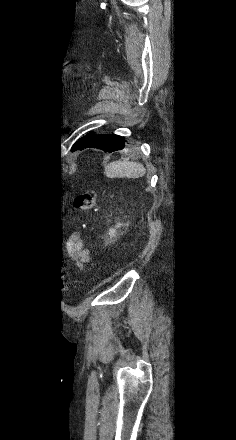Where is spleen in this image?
Returning <instances> with one entry per match:
<instances>
[{"instance_id":"1","label":"spleen","mask_w":236,"mask_h":440,"mask_svg":"<svg viewBox=\"0 0 236 440\" xmlns=\"http://www.w3.org/2000/svg\"><path fill=\"white\" fill-rule=\"evenodd\" d=\"M145 173L146 169L142 164L126 160L112 162L105 168V174L109 178H138L144 176Z\"/></svg>"}]
</instances>
